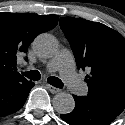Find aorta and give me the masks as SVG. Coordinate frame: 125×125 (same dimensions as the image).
Segmentation results:
<instances>
[{"label":"aorta","mask_w":125,"mask_h":125,"mask_svg":"<svg viewBox=\"0 0 125 125\" xmlns=\"http://www.w3.org/2000/svg\"><path fill=\"white\" fill-rule=\"evenodd\" d=\"M33 48L38 56L50 58L56 53L58 45L52 35L44 33L35 38ZM52 104L54 109L60 114H68L75 107L74 98L66 92L57 93L52 100Z\"/></svg>","instance_id":"aorta-1"}]
</instances>
